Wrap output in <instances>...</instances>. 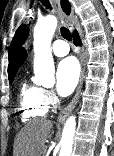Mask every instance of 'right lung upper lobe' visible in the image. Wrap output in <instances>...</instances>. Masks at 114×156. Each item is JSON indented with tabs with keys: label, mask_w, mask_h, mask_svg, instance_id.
I'll list each match as a JSON object with an SVG mask.
<instances>
[{
	"label": "right lung upper lobe",
	"mask_w": 114,
	"mask_h": 156,
	"mask_svg": "<svg viewBox=\"0 0 114 156\" xmlns=\"http://www.w3.org/2000/svg\"><path fill=\"white\" fill-rule=\"evenodd\" d=\"M61 7L66 12V14H69L71 11L70 4L67 0H61ZM27 58V52L24 48H20L18 52L15 54L13 60L9 61V67H8V76L12 77L15 76L16 72L20 68V66L24 63V61Z\"/></svg>",
	"instance_id": "1"
}]
</instances>
